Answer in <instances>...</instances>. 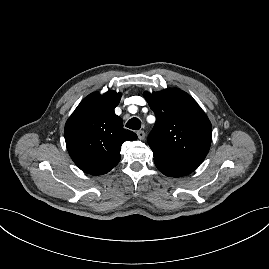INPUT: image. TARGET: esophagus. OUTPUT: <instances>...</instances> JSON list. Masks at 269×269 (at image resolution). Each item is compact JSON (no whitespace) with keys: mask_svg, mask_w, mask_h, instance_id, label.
<instances>
[{"mask_svg":"<svg viewBox=\"0 0 269 269\" xmlns=\"http://www.w3.org/2000/svg\"><path fill=\"white\" fill-rule=\"evenodd\" d=\"M138 138L140 140H144L145 139V132L143 130H140L137 132Z\"/></svg>","mask_w":269,"mask_h":269,"instance_id":"1","label":"esophagus"}]
</instances>
